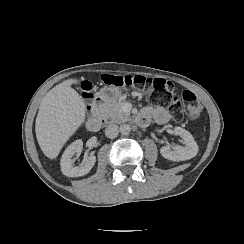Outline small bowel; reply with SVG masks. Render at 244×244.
I'll list each match as a JSON object with an SVG mask.
<instances>
[{"mask_svg":"<svg viewBox=\"0 0 244 244\" xmlns=\"http://www.w3.org/2000/svg\"><path fill=\"white\" fill-rule=\"evenodd\" d=\"M140 116L146 120L145 122L153 119L158 124H166L173 119V115L170 111L158 106H146L141 111Z\"/></svg>","mask_w":244,"mask_h":244,"instance_id":"1","label":"small bowel"}]
</instances>
